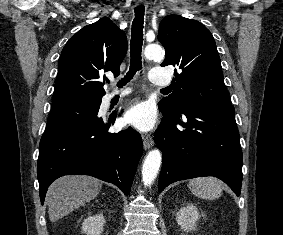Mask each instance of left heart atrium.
<instances>
[{
	"label": "left heart atrium",
	"instance_id": "39dd6f15",
	"mask_svg": "<svg viewBox=\"0 0 283 235\" xmlns=\"http://www.w3.org/2000/svg\"><path fill=\"white\" fill-rule=\"evenodd\" d=\"M124 119L138 130L149 131L155 125V110L146 102L138 103L126 112Z\"/></svg>",
	"mask_w": 283,
	"mask_h": 235
}]
</instances>
